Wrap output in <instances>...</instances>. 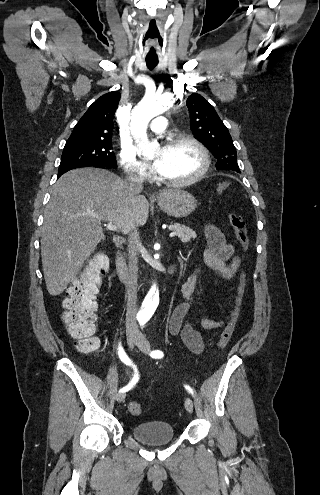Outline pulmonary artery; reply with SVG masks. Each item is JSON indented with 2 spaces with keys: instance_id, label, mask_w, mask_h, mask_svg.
<instances>
[{
  "instance_id": "pulmonary-artery-1",
  "label": "pulmonary artery",
  "mask_w": 320,
  "mask_h": 495,
  "mask_svg": "<svg viewBox=\"0 0 320 495\" xmlns=\"http://www.w3.org/2000/svg\"><path fill=\"white\" fill-rule=\"evenodd\" d=\"M167 128V118L164 116L155 117L150 124V131L155 134L163 133Z\"/></svg>"
}]
</instances>
